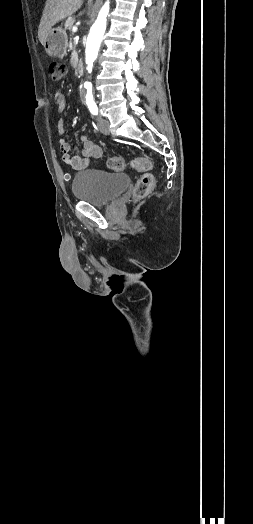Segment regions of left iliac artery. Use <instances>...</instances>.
<instances>
[{
	"instance_id": "44dca946",
	"label": "left iliac artery",
	"mask_w": 253,
	"mask_h": 524,
	"mask_svg": "<svg viewBox=\"0 0 253 524\" xmlns=\"http://www.w3.org/2000/svg\"><path fill=\"white\" fill-rule=\"evenodd\" d=\"M88 108H89L90 112H91L94 116H97V115H98V108H97V105L95 104V102H89V103H88Z\"/></svg>"
}]
</instances>
